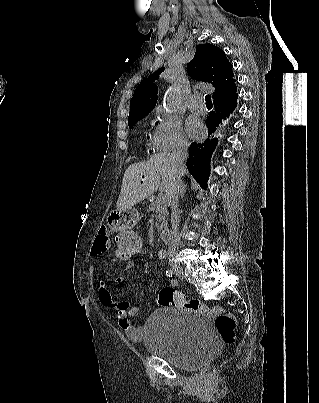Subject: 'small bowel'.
I'll list each match as a JSON object with an SVG mask.
<instances>
[{"label": "small bowel", "mask_w": 319, "mask_h": 403, "mask_svg": "<svg viewBox=\"0 0 319 403\" xmlns=\"http://www.w3.org/2000/svg\"><path fill=\"white\" fill-rule=\"evenodd\" d=\"M108 248H109L108 230L102 227L98 231L97 238L91 250V256L93 258H99L104 253H106ZM166 256L167 255L164 251H161L159 253V258L161 260H164ZM115 282H122L123 286L125 284V280L122 277H117L114 280V283ZM175 285H176L175 281L170 282V286ZM98 289L101 303L105 307H108L114 312L118 325L123 330L128 339L133 342H140L144 337V328L136 327L132 324V318L137 314L138 308L132 307L128 301H123L120 303L115 302L112 294L106 288V280L104 278H101L99 280Z\"/></svg>", "instance_id": "c3829d8e"}]
</instances>
